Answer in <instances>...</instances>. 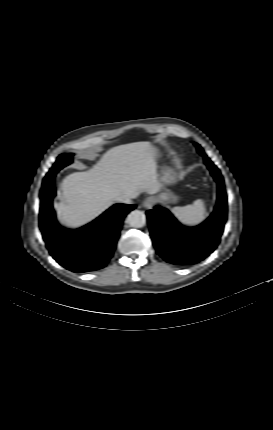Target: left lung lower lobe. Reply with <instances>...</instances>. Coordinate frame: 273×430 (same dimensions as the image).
Wrapping results in <instances>:
<instances>
[{
	"mask_svg": "<svg viewBox=\"0 0 273 430\" xmlns=\"http://www.w3.org/2000/svg\"><path fill=\"white\" fill-rule=\"evenodd\" d=\"M204 159L218 184L217 203L206 221L187 228L161 206L147 211L156 251L166 262L174 265H192L208 257L217 248L227 219V195L223 177L209 158Z\"/></svg>",
	"mask_w": 273,
	"mask_h": 430,
	"instance_id": "obj_1",
	"label": "left lung lower lobe"
}]
</instances>
